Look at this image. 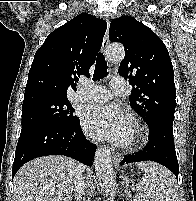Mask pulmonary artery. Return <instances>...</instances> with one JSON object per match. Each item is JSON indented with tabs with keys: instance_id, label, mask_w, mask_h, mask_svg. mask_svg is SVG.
Returning <instances> with one entry per match:
<instances>
[{
	"instance_id": "e3ab8cb5",
	"label": "pulmonary artery",
	"mask_w": 196,
	"mask_h": 201,
	"mask_svg": "<svg viewBox=\"0 0 196 201\" xmlns=\"http://www.w3.org/2000/svg\"><path fill=\"white\" fill-rule=\"evenodd\" d=\"M124 89L125 81L121 78L112 79L109 88L84 82L75 93V99L81 102H103L109 100L114 94L121 93Z\"/></svg>"
}]
</instances>
